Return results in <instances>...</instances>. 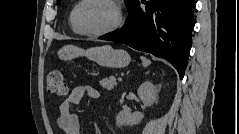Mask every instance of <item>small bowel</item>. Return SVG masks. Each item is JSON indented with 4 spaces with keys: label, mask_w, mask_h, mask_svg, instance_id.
<instances>
[{
    "label": "small bowel",
    "mask_w": 239,
    "mask_h": 134,
    "mask_svg": "<svg viewBox=\"0 0 239 134\" xmlns=\"http://www.w3.org/2000/svg\"><path fill=\"white\" fill-rule=\"evenodd\" d=\"M84 96L90 99H98L100 92L89 85H80L72 90L70 95L60 104V115L57 124L64 134H79L80 120L77 114L72 111V106L81 102Z\"/></svg>",
    "instance_id": "small-bowel-1"
}]
</instances>
